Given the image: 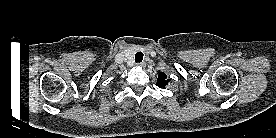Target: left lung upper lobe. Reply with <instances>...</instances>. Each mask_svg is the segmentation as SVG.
Segmentation results:
<instances>
[{"label":"left lung upper lobe","instance_id":"5c2ea615","mask_svg":"<svg viewBox=\"0 0 276 138\" xmlns=\"http://www.w3.org/2000/svg\"><path fill=\"white\" fill-rule=\"evenodd\" d=\"M166 78H167L166 74H164L163 72L159 73L157 78V85L160 88H164L168 84L169 80H167Z\"/></svg>","mask_w":276,"mask_h":138}]
</instances>
